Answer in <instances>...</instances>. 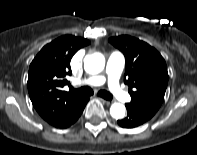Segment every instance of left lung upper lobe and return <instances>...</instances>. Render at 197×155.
Returning a JSON list of instances; mask_svg holds the SVG:
<instances>
[{"label":"left lung upper lobe","instance_id":"obj_1","mask_svg":"<svg viewBox=\"0 0 197 155\" xmlns=\"http://www.w3.org/2000/svg\"><path fill=\"white\" fill-rule=\"evenodd\" d=\"M109 42L125 56L124 82L131 95L127 104L152 118L164 100L168 84L164 58L155 48L131 36L112 37Z\"/></svg>","mask_w":197,"mask_h":155}]
</instances>
